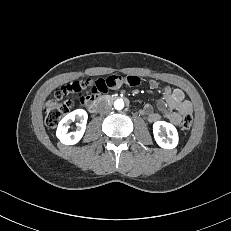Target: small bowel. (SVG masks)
<instances>
[{
	"label": "small bowel",
	"instance_id": "obj_1",
	"mask_svg": "<svg viewBox=\"0 0 231 231\" xmlns=\"http://www.w3.org/2000/svg\"><path fill=\"white\" fill-rule=\"evenodd\" d=\"M126 83L129 86L135 87L140 85L141 79L137 76H128L122 78L117 74L107 76L100 79L96 85L87 91L82 98L83 104H88L96 96V94L106 93L108 90L118 88ZM150 87L156 89L159 87V82L150 81ZM192 104L185 99L184 92L179 88L165 87L163 97L159 99L155 105H145L142 113L147 116L150 122L158 121L162 118L169 120L174 125H179L182 116L192 113Z\"/></svg>",
	"mask_w": 231,
	"mask_h": 231
}]
</instances>
